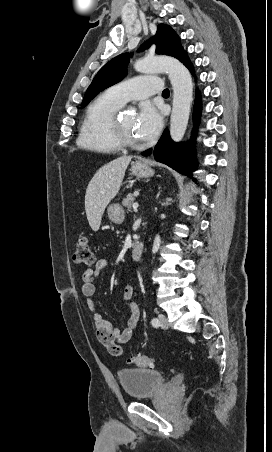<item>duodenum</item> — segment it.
I'll use <instances>...</instances> for the list:
<instances>
[{
  "label": "duodenum",
  "mask_w": 272,
  "mask_h": 452,
  "mask_svg": "<svg viewBox=\"0 0 272 452\" xmlns=\"http://www.w3.org/2000/svg\"><path fill=\"white\" fill-rule=\"evenodd\" d=\"M144 245L142 243H135L131 250V257L134 260H138L143 253Z\"/></svg>",
  "instance_id": "duodenum-1"
}]
</instances>
